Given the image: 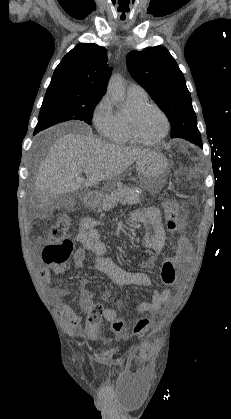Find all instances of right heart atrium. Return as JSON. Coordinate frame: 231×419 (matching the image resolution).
Here are the masks:
<instances>
[{
	"label": "right heart atrium",
	"instance_id": "d8ad5b80",
	"mask_svg": "<svg viewBox=\"0 0 231 419\" xmlns=\"http://www.w3.org/2000/svg\"><path fill=\"white\" fill-rule=\"evenodd\" d=\"M92 117L99 134L105 139L114 140L118 132V119L107 94L103 95L95 105Z\"/></svg>",
	"mask_w": 231,
	"mask_h": 419
}]
</instances>
